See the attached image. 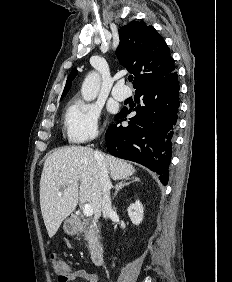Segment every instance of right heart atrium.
<instances>
[{
  "mask_svg": "<svg viewBox=\"0 0 232 282\" xmlns=\"http://www.w3.org/2000/svg\"><path fill=\"white\" fill-rule=\"evenodd\" d=\"M100 111L93 104L74 100L65 114L66 134L71 143L82 144L94 139L99 131Z\"/></svg>",
  "mask_w": 232,
  "mask_h": 282,
  "instance_id": "1",
  "label": "right heart atrium"
}]
</instances>
